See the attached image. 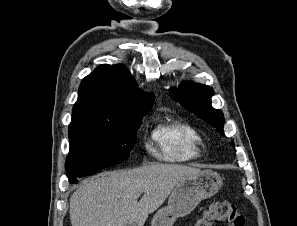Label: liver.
<instances>
[{"label": "liver", "instance_id": "obj_1", "mask_svg": "<svg viewBox=\"0 0 297 226\" xmlns=\"http://www.w3.org/2000/svg\"><path fill=\"white\" fill-rule=\"evenodd\" d=\"M200 172L184 165L151 164L87 179L70 198L71 225L126 226L132 222L143 226L180 181Z\"/></svg>", "mask_w": 297, "mask_h": 226}]
</instances>
